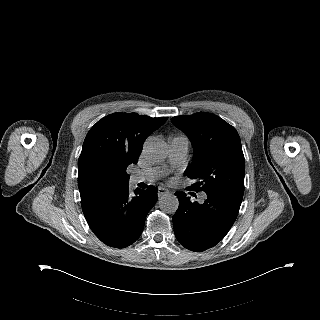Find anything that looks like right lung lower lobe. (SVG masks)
<instances>
[{
  "label": "right lung lower lobe",
  "mask_w": 320,
  "mask_h": 320,
  "mask_svg": "<svg viewBox=\"0 0 320 320\" xmlns=\"http://www.w3.org/2000/svg\"><path fill=\"white\" fill-rule=\"evenodd\" d=\"M157 201L156 188L129 191L128 184L95 189L81 196L86 221L106 245L124 248L141 235L146 216Z\"/></svg>",
  "instance_id": "right-lung-lower-lobe-1"
}]
</instances>
